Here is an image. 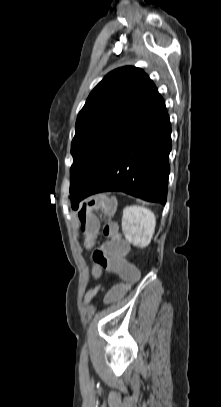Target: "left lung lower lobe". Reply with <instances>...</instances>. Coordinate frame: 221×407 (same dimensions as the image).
I'll return each instance as SVG.
<instances>
[{
  "label": "left lung lower lobe",
  "mask_w": 221,
  "mask_h": 407,
  "mask_svg": "<svg viewBox=\"0 0 221 407\" xmlns=\"http://www.w3.org/2000/svg\"><path fill=\"white\" fill-rule=\"evenodd\" d=\"M172 148L165 102L156 89L134 115L111 152L71 200L73 209L96 193L121 191L150 202L166 203Z\"/></svg>",
  "instance_id": "0a47b994"
}]
</instances>
